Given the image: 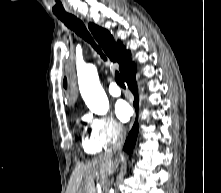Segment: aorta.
Instances as JSON below:
<instances>
[{
  "mask_svg": "<svg viewBox=\"0 0 221 193\" xmlns=\"http://www.w3.org/2000/svg\"><path fill=\"white\" fill-rule=\"evenodd\" d=\"M78 84L87 107L97 115H105L109 110V101L93 64H87L78 71Z\"/></svg>",
  "mask_w": 221,
  "mask_h": 193,
  "instance_id": "1",
  "label": "aorta"
}]
</instances>
